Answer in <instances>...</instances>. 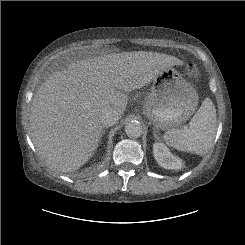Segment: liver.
<instances>
[{
    "label": "liver",
    "instance_id": "1",
    "mask_svg": "<svg viewBox=\"0 0 245 245\" xmlns=\"http://www.w3.org/2000/svg\"><path fill=\"white\" fill-rule=\"evenodd\" d=\"M182 64L171 55L132 51L82 59L54 72L36 91L29 118L31 139L41 158L58 171L79 169L100 143V110L111 107L121 117L127 92Z\"/></svg>",
    "mask_w": 245,
    "mask_h": 245
}]
</instances>
